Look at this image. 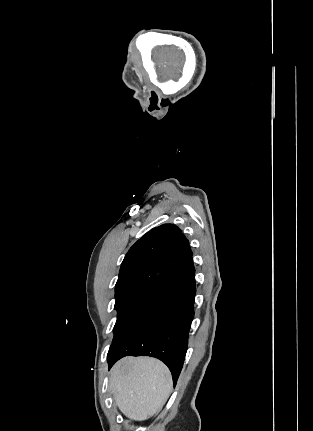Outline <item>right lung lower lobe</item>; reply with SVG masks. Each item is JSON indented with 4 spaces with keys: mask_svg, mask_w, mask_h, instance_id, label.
I'll return each instance as SVG.
<instances>
[{
    "mask_svg": "<svg viewBox=\"0 0 313 431\" xmlns=\"http://www.w3.org/2000/svg\"><path fill=\"white\" fill-rule=\"evenodd\" d=\"M196 294L192 257L161 283L113 339L109 368L124 356H150L170 369L174 385L181 372Z\"/></svg>",
    "mask_w": 313,
    "mask_h": 431,
    "instance_id": "1",
    "label": "right lung lower lobe"
}]
</instances>
